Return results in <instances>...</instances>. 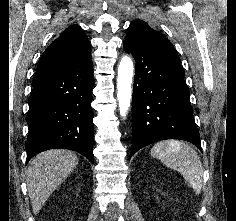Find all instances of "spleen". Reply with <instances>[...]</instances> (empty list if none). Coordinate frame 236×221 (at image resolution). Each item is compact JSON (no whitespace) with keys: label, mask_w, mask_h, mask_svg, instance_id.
<instances>
[{"label":"spleen","mask_w":236,"mask_h":221,"mask_svg":"<svg viewBox=\"0 0 236 221\" xmlns=\"http://www.w3.org/2000/svg\"><path fill=\"white\" fill-rule=\"evenodd\" d=\"M151 155L180 172L195 192L201 191L203 167L197 152L192 147L179 140H164L152 147Z\"/></svg>","instance_id":"obj_1"}]
</instances>
